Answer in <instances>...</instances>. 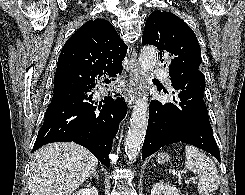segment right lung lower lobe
Here are the masks:
<instances>
[{
	"label": "right lung lower lobe",
	"mask_w": 245,
	"mask_h": 195,
	"mask_svg": "<svg viewBox=\"0 0 245 195\" xmlns=\"http://www.w3.org/2000/svg\"><path fill=\"white\" fill-rule=\"evenodd\" d=\"M100 77L88 85L54 93L32 152L51 142H75L110 166L108 154L127 105L123 98L116 96H106L97 105L91 92L99 89L96 85Z\"/></svg>",
	"instance_id": "obj_1"
}]
</instances>
